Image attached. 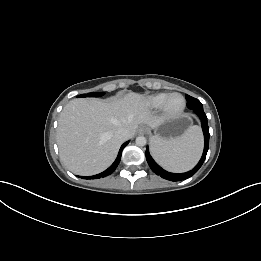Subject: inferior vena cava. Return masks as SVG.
Masks as SVG:
<instances>
[{
    "mask_svg": "<svg viewBox=\"0 0 261 261\" xmlns=\"http://www.w3.org/2000/svg\"><path fill=\"white\" fill-rule=\"evenodd\" d=\"M115 137L119 140H125L127 138V131L125 129H118L115 132Z\"/></svg>",
    "mask_w": 261,
    "mask_h": 261,
    "instance_id": "602c4592",
    "label": "inferior vena cava"
}]
</instances>
